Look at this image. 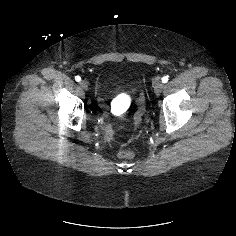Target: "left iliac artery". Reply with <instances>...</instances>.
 <instances>
[{"label":"left iliac artery","instance_id":"left-iliac-artery-1","mask_svg":"<svg viewBox=\"0 0 236 236\" xmlns=\"http://www.w3.org/2000/svg\"><path fill=\"white\" fill-rule=\"evenodd\" d=\"M168 80H169L168 76H164V77L162 78V82H163V83H167Z\"/></svg>","mask_w":236,"mask_h":236}]
</instances>
